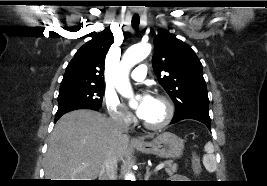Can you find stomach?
I'll list each match as a JSON object with an SVG mask.
<instances>
[{"label": "stomach", "instance_id": "stomach-1", "mask_svg": "<svg viewBox=\"0 0 267 186\" xmlns=\"http://www.w3.org/2000/svg\"><path fill=\"white\" fill-rule=\"evenodd\" d=\"M136 149L145 154H154L162 158H178L184 150V142L177 135L163 132L153 137L150 142L135 145Z\"/></svg>", "mask_w": 267, "mask_h": 186}]
</instances>
